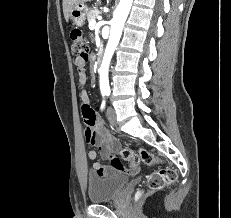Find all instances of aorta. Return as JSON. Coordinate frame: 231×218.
Here are the masks:
<instances>
[{
	"label": "aorta",
	"mask_w": 231,
	"mask_h": 218,
	"mask_svg": "<svg viewBox=\"0 0 231 218\" xmlns=\"http://www.w3.org/2000/svg\"><path fill=\"white\" fill-rule=\"evenodd\" d=\"M133 0H120L117 9L111 20L110 37L104 52L103 60L100 67V89L101 91L109 90V65L114 51L119 43L124 23L128 17Z\"/></svg>",
	"instance_id": "aorta-1"
}]
</instances>
